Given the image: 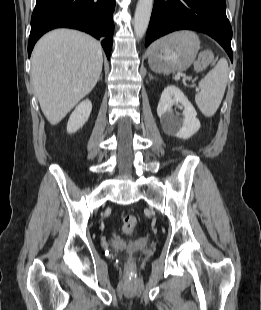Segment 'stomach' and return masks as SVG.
Listing matches in <instances>:
<instances>
[{
	"instance_id": "1",
	"label": "stomach",
	"mask_w": 261,
	"mask_h": 310,
	"mask_svg": "<svg viewBox=\"0 0 261 310\" xmlns=\"http://www.w3.org/2000/svg\"><path fill=\"white\" fill-rule=\"evenodd\" d=\"M200 48L198 36L191 31L171 33L151 45L148 50L150 68L156 73L187 70Z\"/></svg>"
}]
</instances>
